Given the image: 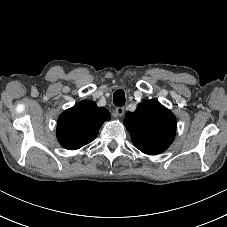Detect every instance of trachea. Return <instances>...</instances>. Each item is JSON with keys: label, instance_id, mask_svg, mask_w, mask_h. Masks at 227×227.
I'll list each match as a JSON object with an SVG mask.
<instances>
[{"label": "trachea", "instance_id": "trachea-1", "mask_svg": "<svg viewBox=\"0 0 227 227\" xmlns=\"http://www.w3.org/2000/svg\"><path fill=\"white\" fill-rule=\"evenodd\" d=\"M113 101L115 106H124L125 104V93L122 89L114 92Z\"/></svg>", "mask_w": 227, "mask_h": 227}]
</instances>
